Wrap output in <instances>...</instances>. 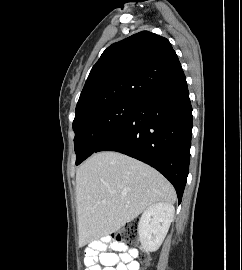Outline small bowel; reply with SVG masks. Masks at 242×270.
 I'll use <instances>...</instances> for the list:
<instances>
[{
    "label": "small bowel",
    "mask_w": 242,
    "mask_h": 270,
    "mask_svg": "<svg viewBox=\"0 0 242 270\" xmlns=\"http://www.w3.org/2000/svg\"><path fill=\"white\" fill-rule=\"evenodd\" d=\"M109 246V251H107ZM138 251L107 237L90 245L86 255V270H139Z\"/></svg>",
    "instance_id": "1"
}]
</instances>
